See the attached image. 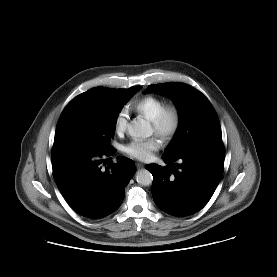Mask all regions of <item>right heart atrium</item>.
Returning <instances> with one entry per match:
<instances>
[{"label":"right heart atrium","instance_id":"obj_1","mask_svg":"<svg viewBox=\"0 0 277 277\" xmlns=\"http://www.w3.org/2000/svg\"><path fill=\"white\" fill-rule=\"evenodd\" d=\"M128 123V115L126 110H120L114 119V131L116 134L121 135L126 131Z\"/></svg>","mask_w":277,"mask_h":277}]
</instances>
